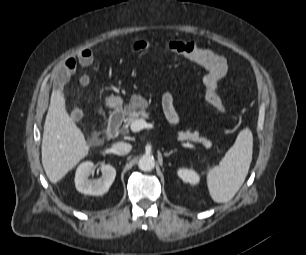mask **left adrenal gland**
I'll return each mask as SVG.
<instances>
[{
	"label": "left adrenal gland",
	"instance_id": "a2214340",
	"mask_svg": "<svg viewBox=\"0 0 306 255\" xmlns=\"http://www.w3.org/2000/svg\"><path fill=\"white\" fill-rule=\"evenodd\" d=\"M176 151H177V150L174 149V150H170L169 152H165V153H164V156H165V157H169L171 154L175 153Z\"/></svg>",
	"mask_w": 306,
	"mask_h": 255
}]
</instances>
